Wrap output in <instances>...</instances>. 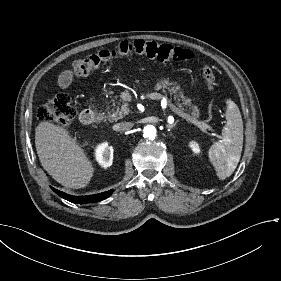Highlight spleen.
I'll use <instances>...</instances> for the list:
<instances>
[{
	"label": "spleen",
	"mask_w": 281,
	"mask_h": 281,
	"mask_svg": "<svg viewBox=\"0 0 281 281\" xmlns=\"http://www.w3.org/2000/svg\"><path fill=\"white\" fill-rule=\"evenodd\" d=\"M226 120L222 140L220 143L215 142L208 152L220 180L232 175L240 161L243 148L242 116L232 100H227Z\"/></svg>",
	"instance_id": "1"
}]
</instances>
